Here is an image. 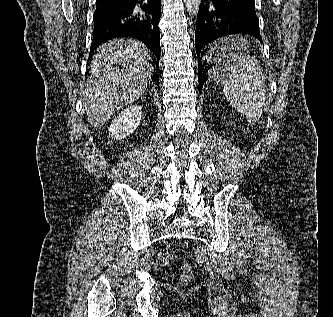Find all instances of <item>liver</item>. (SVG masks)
I'll use <instances>...</instances> for the list:
<instances>
[{"label": "liver", "mask_w": 333, "mask_h": 317, "mask_svg": "<svg viewBox=\"0 0 333 317\" xmlns=\"http://www.w3.org/2000/svg\"><path fill=\"white\" fill-rule=\"evenodd\" d=\"M150 55L143 43L128 39H114L97 49L91 75L81 89L94 128H101L117 110L143 95L153 70Z\"/></svg>", "instance_id": "6515ba94"}]
</instances>
